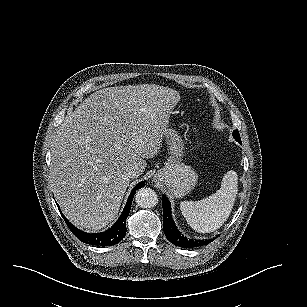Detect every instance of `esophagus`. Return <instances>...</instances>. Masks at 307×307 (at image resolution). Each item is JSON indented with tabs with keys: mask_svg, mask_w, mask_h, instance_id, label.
I'll list each match as a JSON object with an SVG mask.
<instances>
[{
	"mask_svg": "<svg viewBox=\"0 0 307 307\" xmlns=\"http://www.w3.org/2000/svg\"><path fill=\"white\" fill-rule=\"evenodd\" d=\"M152 181H153L154 183H157V184H159V183L161 182V180H160V178H159L158 175H154Z\"/></svg>",
	"mask_w": 307,
	"mask_h": 307,
	"instance_id": "esophagus-1",
	"label": "esophagus"
}]
</instances>
